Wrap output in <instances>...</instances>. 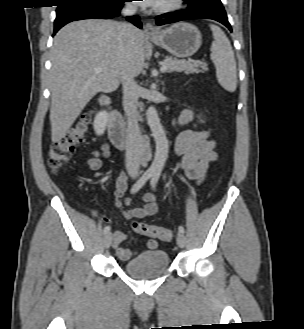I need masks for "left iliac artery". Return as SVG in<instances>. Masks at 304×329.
Returning <instances> with one entry per match:
<instances>
[{
	"instance_id": "obj_1",
	"label": "left iliac artery",
	"mask_w": 304,
	"mask_h": 329,
	"mask_svg": "<svg viewBox=\"0 0 304 329\" xmlns=\"http://www.w3.org/2000/svg\"><path fill=\"white\" fill-rule=\"evenodd\" d=\"M159 177H160V173L159 172H156V173H154L153 175H152V178H151V186L153 187V188H155L156 187V185H157V182H158V180H159ZM178 230H179V232H181V233H185V229H184V227L183 226H179V228H178Z\"/></svg>"
}]
</instances>
